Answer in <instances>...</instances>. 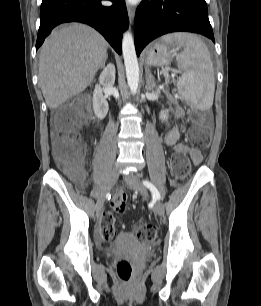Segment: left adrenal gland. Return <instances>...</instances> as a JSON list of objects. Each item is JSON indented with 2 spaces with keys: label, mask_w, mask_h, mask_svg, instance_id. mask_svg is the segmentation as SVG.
Returning <instances> with one entry per match:
<instances>
[{
  "label": "left adrenal gland",
  "mask_w": 261,
  "mask_h": 306,
  "mask_svg": "<svg viewBox=\"0 0 261 306\" xmlns=\"http://www.w3.org/2000/svg\"><path fill=\"white\" fill-rule=\"evenodd\" d=\"M146 73V89L151 90L154 87V77L148 67H145Z\"/></svg>",
  "instance_id": "obj_1"
}]
</instances>
